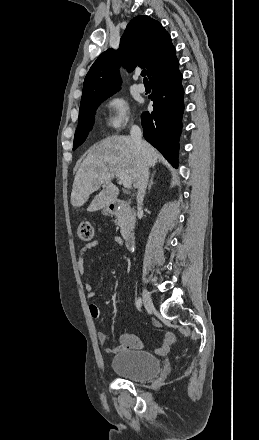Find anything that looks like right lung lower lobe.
<instances>
[{"label": "right lung lower lobe", "mask_w": 259, "mask_h": 440, "mask_svg": "<svg viewBox=\"0 0 259 440\" xmlns=\"http://www.w3.org/2000/svg\"><path fill=\"white\" fill-rule=\"evenodd\" d=\"M178 65L174 55L149 78L153 89L150 99L154 102V110L141 115L144 138L176 168L184 110L182 74Z\"/></svg>", "instance_id": "98d812e1"}]
</instances>
